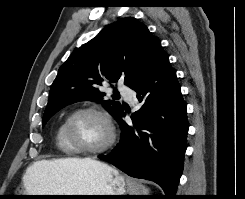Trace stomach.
<instances>
[{"label":"stomach","instance_id":"1","mask_svg":"<svg viewBox=\"0 0 245 199\" xmlns=\"http://www.w3.org/2000/svg\"><path fill=\"white\" fill-rule=\"evenodd\" d=\"M55 184L60 192L44 195H124L127 181L118 170L102 163L100 166L91 165L78 169L69 175L55 177ZM25 187V186H24ZM29 192L27 189L24 193ZM32 195V194H20ZM37 199H80L102 198L99 196L80 197H36Z\"/></svg>","mask_w":245,"mask_h":199}]
</instances>
